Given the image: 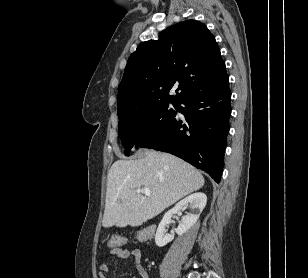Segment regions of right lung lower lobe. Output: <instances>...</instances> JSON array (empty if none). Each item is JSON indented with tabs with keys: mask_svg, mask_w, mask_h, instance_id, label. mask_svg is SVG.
I'll list each match as a JSON object with an SVG mask.
<instances>
[{
	"mask_svg": "<svg viewBox=\"0 0 308 278\" xmlns=\"http://www.w3.org/2000/svg\"><path fill=\"white\" fill-rule=\"evenodd\" d=\"M231 92L227 77L215 86L184 98L175 118L140 147L176 155L220 182L229 131ZM182 104V105H181Z\"/></svg>",
	"mask_w": 308,
	"mask_h": 278,
	"instance_id": "right-lung-lower-lobe-1",
	"label": "right lung lower lobe"
}]
</instances>
